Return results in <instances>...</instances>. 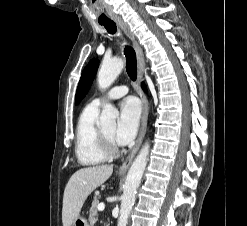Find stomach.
Wrapping results in <instances>:
<instances>
[{
  "label": "stomach",
  "instance_id": "1",
  "mask_svg": "<svg viewBox=\"0 0 247 226\" xmlns=\"http://www.w3.org/2000/svg\"><path fill=\"white\" fill-rule=\"evenodd\" d=\"M71 226H89V223L87 220L83 217H78L72 224Z\"/></svg>",
  "mask_w": 247,
  "mask_h": 226
}]
</instances>
